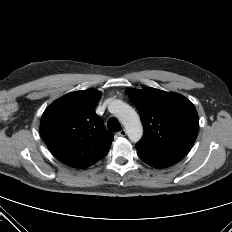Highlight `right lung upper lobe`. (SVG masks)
<instances>
[{
	"instance_id": "1",
	"label": "right lung upper lobe",
	"mask_w": 232,
	"mask_h": 232,
	"mask_svg": "<svg viewBox=\"0 0 232 232\" xmlns=\"http://www.w3.org/2000/svg\"><path fill=\"white\" fill-rule=\"evenodd\" d=\"M100 97L95 90L71 92L55 100L42 115L40 132L45 144L54 157L70 167L96 163L114 140L95 113Z\"/></svg>"
}]
</instances>
